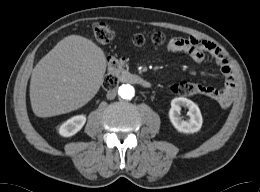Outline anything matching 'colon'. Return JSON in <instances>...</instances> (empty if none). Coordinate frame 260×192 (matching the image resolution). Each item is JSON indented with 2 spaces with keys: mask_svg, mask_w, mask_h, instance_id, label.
<instances>
[{
  "mask_svg": "<svg viewBox=\"0 0 260 192\" xmlns=\"http://www.w3.org/2000/svg\"><path fill=\"white\" fill-rule=\"evenodd\" d=\"M93 35L97 43L106 45L114 38L113 29L105 22H97L93 25ZM166 40V36L162 32H155L151 35L149 42L152 45H162ZM132 42L135 46L141 47L146 44V38L141 34H136L132 38ZM123 64L122 59H114L110 62L109 71L106 75L103 86L105 89H112L117 84V78L115 72ZM173 93L179 96H190L197 93L198 86L195 83L188 81H180L171 87Z\"/></svg>",
  "mask_w": 260,
  "mask_h": 192,
  "instance_id": "5ec220e1",
  "label": "colon"
}]
</instances>
